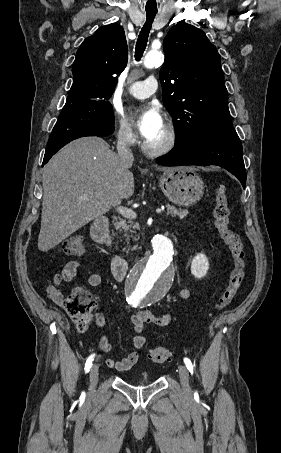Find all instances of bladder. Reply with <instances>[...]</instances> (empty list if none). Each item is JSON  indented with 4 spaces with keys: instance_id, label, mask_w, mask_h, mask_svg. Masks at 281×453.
<instances>
[{
    "instance_id": "31cf9c89",
    "label": "bladder",
    "mask_w": 281,
    "mask_h": 453,
    "mask_svg": "<svg viewBox=\"0 0 281 453\" xmlns=\"http://www.w3.org/2000/svg\"><path fill=\"white\" fill-rule=\"evenodd\" d=\"M141 382L142 383H148L149 382V378L147 376H143L142 379H141Z\"/></svg>"
}]
</instances>
